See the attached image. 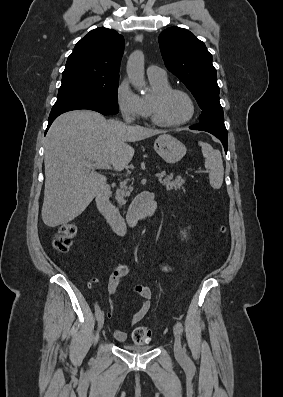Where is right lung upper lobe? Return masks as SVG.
<instances>
[{
    "instance_id": "cb5924a9",
    "label": "right lung upper lobe",
    "mask_w": 283,
    "mask_h": 397,
    "mask_svg": "<svg viewBox=\"0 0 283 397\" xmlns=\"http://www.w3.org/2000/svg\"><path fill=\"white\" fill-rule=\"evenodd\" d=\"M124 38L103 27L90 31L74 47L64 73H78L103 78H119Z\"/></svg>"
}]
</instances>
